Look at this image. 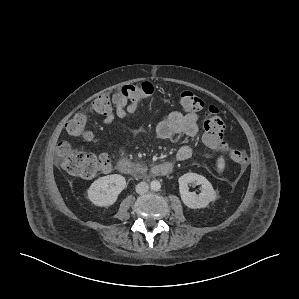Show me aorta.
I'll return each mask as SVG.
<instances>
[{
	"instance_id": "762f6f07",
	"label": "aorta",
	"mask_w": 299,
	"mask_h": 299,
	"mask_svg": "<svg viewBox=\"0 0 299 299\" xmlns=\"http://www.w3.org/2000/svg\"><path fill=\"white\" fill-rule=\"evenodd\" d=\"M150 187L153 191H158L161 188V183L158 180H153L150 183Z\"/></svg>"
}]
</instances>
